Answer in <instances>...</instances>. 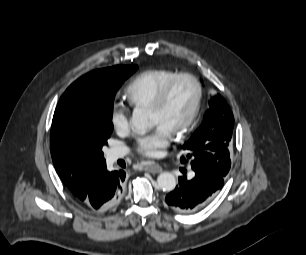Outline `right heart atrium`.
<instances>
[{"label":"right heart atrium","mask_w":306,"mask_h":255,"mask_svg":"<svg viewBox=\"0 0 306 255\" xmlns=\"http://www.w3.org/2000/svg\"><path fill=\"white\" fill-rule=\"evenodd\" d=\"M111 124L118 133H127L131 129V120L129 115L121 110L114 108L111 112Z\"/></svg>","instance_id":"1"}]
</instances>
